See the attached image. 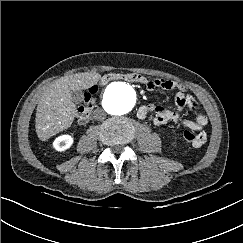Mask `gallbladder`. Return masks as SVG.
<instances>
[{
	"instance_id": "1",
	"label": "gallbladder",
	"mask_w": 243,
	"mask_h": 243,
	"mask_svg": "<svg viewBox=\"0 0 243 243\" xmlns=\"http://www.w3.org/2000/svg\"><path fill=\"white\" fill-rule=\"evenodd\" d=\"M71 98L75 104H79L83 99L82 91H71Z\"/></svg>"
}]
</instances>
